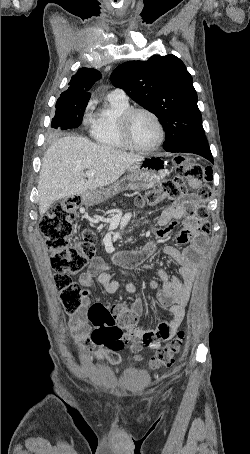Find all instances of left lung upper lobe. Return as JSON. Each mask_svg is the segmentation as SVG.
I'll return each instance as SVG.
<instances>
[{
  "label": "left lung upper lobe",
  "instance_id": "left-lung-upper-lobe-1",
  "mask_svg": "<svg viewBox=\"0 0 250 454\" xmlns=\"http://www.w3.org/2000/svg\"><path fill=\"white\" fill-rule=\"evenodd\" d=\"M111 82L159 118L166 133L165 150L204 135L192 77L176 56L125 62L113 71Z\"/></svg>",
  "mask_w": 250,
  "mask_h": 454
}]
</instances>
